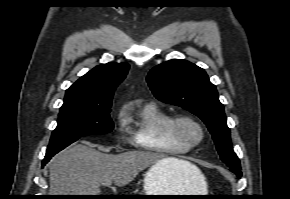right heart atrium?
I'll return each mask as SVG.
<instances>
[{
    "instance_id": "1",
    "label": "right heart atrium",
    "mask_w": 290,
    "mask_h": 199,
    "mask_svg": "<svg viewBox=\"0 0 290 199\" xmlns=\"http://www.w3.org/2000/svg\"><path fill=\"white\" fill-rule=\"evenodd\" d=\"M117 124H118L119 131L121 133H123L125 131V127H126V120L122 114H119V116L117 118Z\"/></svg>"
}]
</instances>
